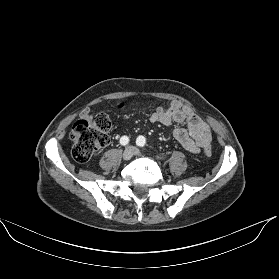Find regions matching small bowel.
Returning a JSON list of instances; mask_svg holds the SVG:
<instances>
[{
	"mask_svg": "<svg viewBox=\"0 0 279 279\" xmlns=\"http://www.w3.org/2000/svg\"><path fill=\"white\" fill-rule=\"evenodd\" d=\"M82 116L89 117L91 114L85 110ZM149 120L151 123H161L166 126L175 124L173 135L189 152L199 153L211 145L212 136L209 126L190 107L179 100H173L165 106H158ZM185 122L187 129L182 127Z\"/></svg>",
	"mask_w": 279,
	"mask_h": 279,
	"instance_id": "small-bowel-1",
	"label": "small bowel"
}]
</instances>
